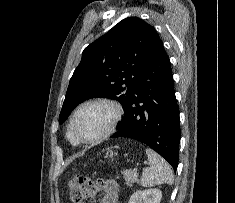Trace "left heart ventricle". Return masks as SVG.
Returning a JSON list of instances; mask_svg holds the SVG:
<instances>
[{
    "mask_svg": "<svg viewBox=\"0 0 235 203\" xmlns=\"http://www.w3.org/2000/svg\"><path fill=\"white\" fill-rule=\"evenodd\" d=\"M113 115L114 111L109 105L102 103L88 105L78 114L77 131L86 139L96 138L108 129Z\"/></svg>",
    "mask_w": 235,
    "mask_h": 203,
    "instance_id": "obj_1",
    "label": "left heart ventricle"
}]
</instances>
